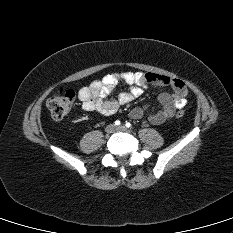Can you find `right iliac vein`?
Masks as SVG:
<instances>
[{"label": "right iliac vein", "mask_w": 233, "mask_h": 233, "mask_svg": "<svg viewBox=\"0 0 233 233\" xmlns=\"http://www.w3.org/2000/svg\"><path fill=\"white\" fill-rule=\"evenodd\" d=\"M114 129H115L114 125L110 124L106 127L105 131H106L107 135H109V134H112L114 132Z\"/></svg>", "instance_id": "1"}]
</instances>
